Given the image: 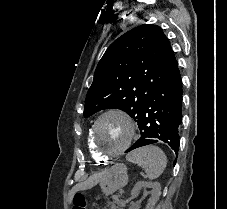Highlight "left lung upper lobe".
I'll return each instance as SVG.
<instances>
[{
  "mask_svg": "<svg viewBox=\"0 0 227 209\" xmlns=\"http://www.w3.org/2000/svg\"><path fill=\"white\" fill-rule=\"evenodd\" d=\"M176 66L169 40L159 26L143 24L128 31L99 61L86 96L84 117L117 108L137 121Z\"/></svg>",
  "mask_w": 227,
  "mask_h": 209,
  "instance_id": "5c2ea615",
  "label": "left lung upper lobe"
}]
</instances>
